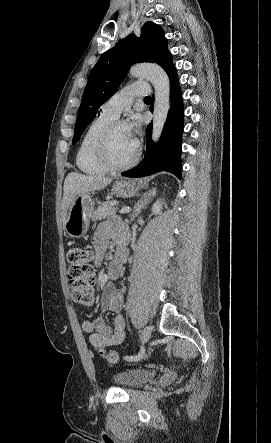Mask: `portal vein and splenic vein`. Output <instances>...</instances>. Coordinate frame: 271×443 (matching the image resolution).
<instances>
[{
  "instance_id": "portal-vein-and-splenic-vein-1",
  "label": "portal vein and splenic vein",
  "mask_w": 271,
  "mask_h": 443,
  "mask_svg": "<svg viewBox=\"0 0 271 443\" xmlns=\"http://www.w3.org/2000/svg\"><path fill=\"white\" fill-rule=\"evenodd\" d=\"M131 208H122V210H120V214H128V212H130Z\"/></svg>"
}]
</instances>
